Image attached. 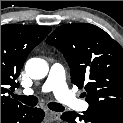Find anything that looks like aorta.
<instances>
[{
	"label": "aorta",
	"mask_w": 123,
	"mask_h": 123,
	"mask_svg": "<svg viewBox=\"0 0 123 123\" xmlns=\"http://www.w3.org/2000/svg\"><path fill=\"white\" fill-rule=\"evenodd\" d=\"M25 71L30 78L39 80L47 76L49 66L44 59L31 58L26 62Z\"/></svg>",
	"instance_id": "obj_1"
}]
</instances>
